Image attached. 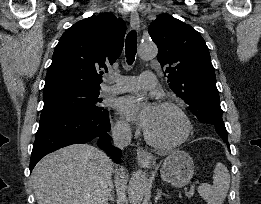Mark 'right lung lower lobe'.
Masks as SVG:
<instances>
[{
	"instance_id": "98d812e1",
	"label": "right lung lower lobe",
	"mask_w": 261,
	"mask_h": 204,
	"mask_svg": "<svg viewBox=\"0 0 261 204\" xmlns=\"http://www.w3.org/2000/svg\"><path fill=\"white\" fill-rule=\"evenodd\" d=\"M108 131L109 113L105 109L78 107L42 112L31 154L30 171L45 155L95 138H98V145L118 162L121 150L110 145L111 137Z\"/></svg>"
}]
</instances>
